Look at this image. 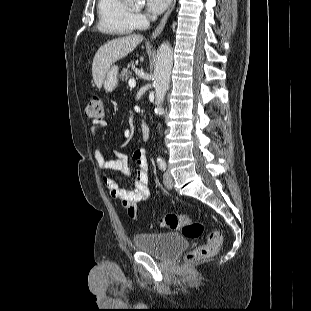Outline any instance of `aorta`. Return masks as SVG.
I'll list each match as a JSON object with an SVG mask.
<instances>
[{"label": "aorta", "instance_id": "762f6f07", "mask_svg": "<svg viewBox=\"0 0 311 311\" xmlns=\"http://www.w3.org/2000/svg\"><path fill=\"white\" fill-rule=\"evenodd\" d=\"M134 2H141L143 0H132ZM173 66V51L172 47L168 42L161 44L157 51L156 62H155V104L156 107L154 112L156 115H162L164 109L162 103L164 101L166 92L170 84L171 69Z\"/></svg>", "mask_w": 311, "mask_h": 311}]
</instances>
